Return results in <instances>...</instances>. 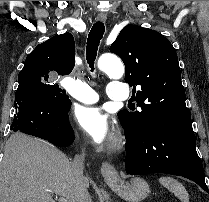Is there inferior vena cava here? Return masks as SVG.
<instances>
[{
  "label": "inferior vena cava",
  "mask_w": 209,
  "mask_h": 202,
  "mask_svg": "<svg viewBox=\"0 0 209 202\" xmlns=\"http://www.w3.org/2000/svg\"><path fill=\"white\" fill-rule=\"evenodd\" d=\"M84 159L85 154L84 151H82V154L76 155L72 162V170L76 179V202H92L84 183Z\"/></svg>",
  "instance_id": "602c4592"
}]
</instances>
